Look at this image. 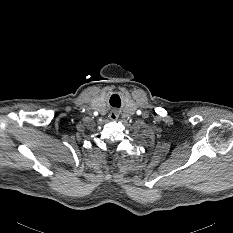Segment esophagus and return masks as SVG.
Returning <instances> with one entry per match:
<instances>
[{"mask_svg":"<svg viewBox=\"0 0 233 233\" xmlns=\"http://www.w3.org/2000/svg\"><path fill=\"white\" fill-rule=\"evenodd\" d=\"M109 117L111 120H117L119 117V113L116 110L110 112Z\"/></svg>","mask_w":233,"mask_h":233,"instance_id":"1","label":"esophagus"}]
</instances>
